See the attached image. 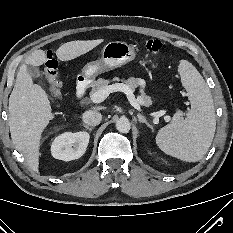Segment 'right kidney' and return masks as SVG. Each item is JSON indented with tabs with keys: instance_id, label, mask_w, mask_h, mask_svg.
<instances>
[{
	"instance_id": "right-kidney-1",
	"label": "right kidney",
	"mask_w": 233,
	"mask_h": 233,
	"mask_svg": "<svg viewBox=\"0 0 233 233\" xmlns=\"http://www.w3.org/2000/svg\"><path fill=\"white\" fill-rule=\"evenodd\" d=\"M90 139L87 132H66L56 137L51 145L54 158L71 161L80 158L86 151Z\"/></svg>"
}]
</instances>
